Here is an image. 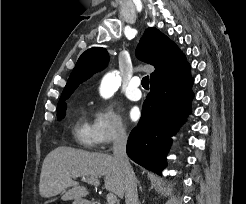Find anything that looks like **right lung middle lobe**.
Listing matches in <instances>:
<instances>
[{
    "label": "right lung middle lobe",
    "mask_w": 246,
    "mask_h": 204,
    "mask_svg": "<svg viewBox=\"0 0 246 204\" xmlns=\"http://www.w3.org/2000/svg\"><path fill=\"white\" fill-rule=\"evenodd\" d=\"M67 98L68 97L60 98V100L58 102V106H57V118H58V120L65 117V107H66L65 100Z\"/></svg>",
    "instance_id": "obj_1"
}]
</instances>
